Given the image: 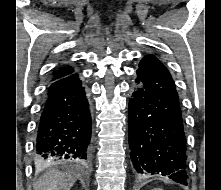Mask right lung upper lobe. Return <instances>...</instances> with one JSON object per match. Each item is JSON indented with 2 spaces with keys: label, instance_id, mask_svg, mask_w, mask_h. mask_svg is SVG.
<instances>
[{
  "label": "right lung upper lobe",
  "instance_id": "cb5924a9",
  "mask_svg": "<svg viewBox=\"0 0 221 190\" xmlns=\"http://www.w3.org/2000/svg\"><path fill=\"white\" fill-rule=\"evenodd\" d=\"M74 70L70 66H61L54 74L52 82L72 74Z\"/></svg>",
  "mask_w": 221,
  "mask_h": 190
}]
</instances>
